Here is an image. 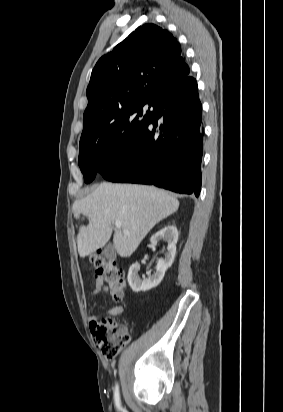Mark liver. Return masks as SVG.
Returning a JSON list of instances; mask_svg holds the SVG:
<instances>
[{
    "mask_svg": "<svg viewBox=\"0 0 283 412\" xmlns=\"http://www.w3.org/2000/svg\"><path fill=\"white\" fill-rule=\"evenodd\" d=\"M179 201L170 193L153 186L101 183L86 197L76 200L74 217H88L80 226L78 253L84 258L104 247L112 232L113 244L121 257H129L150 230L178 210ZM120 221L121 228L114 229Z\"/></svg>",
    "mask_w": 283,
    "mask_h": 412,
    "instance_id": "6515ba94",
    "label": "liver"
}]
</instances>
